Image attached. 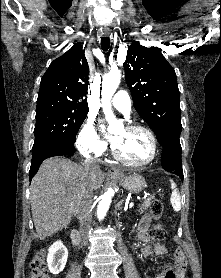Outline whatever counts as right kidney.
Wrapping results in <instances>:
<instances>
[{
	"label": "right kidney",
	"instance_id": "1",
	"mask_svg": "<svg viewBox=\"0 0 221 278\" xmlns=\"http://www.w3.org/2000/svg\"><path fill=\"white\" fill-rule=\"evenodd\" d=\"M68 258L67 248L62 242L56 241L48 250L47 264L50 272L54 275L59 274L65 268Z\"/></svg>",
	"mask_w": 221,
	"mask_h": 278
}]
</instances>
